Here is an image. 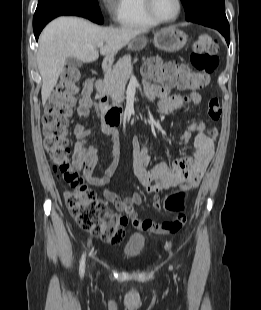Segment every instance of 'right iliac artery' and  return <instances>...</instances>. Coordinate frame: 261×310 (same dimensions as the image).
<instances>
[{"instance_id":"1","label":"right iliac artery","mask_w":261,"mask_h":310,"mask_svg":"<svg viewBox=\"0 0 261 310\" xmlns=\"http://www.w3.org/2000/svg\"><path fill=\"white\" fill-rule=\"evenodd\" d=\"M84 271H85V254L82 255V258L80 261L79 273L81 277L84 275Z\"/></svg>"}]
</instances>
